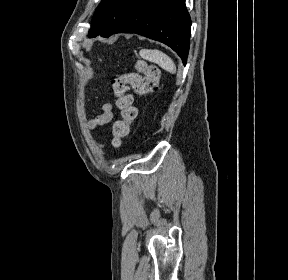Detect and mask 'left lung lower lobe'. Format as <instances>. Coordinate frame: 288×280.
Returning <instances> with one entry per match:
<instances>
[{
    "label": "left lung lower lobe",
    "instance_id": "obj_1",
    "mask_svg": "<svg viewBox=\"0 0 288 280\" xmlns=\"http://www.w3.org/2000/svg\"><path fill=\"white\" fill-rule=\"evenodd\" d=\"M191 19L185 0H140L123 18L113 34L136 33L172 48L186 64Z\"/></svg>",
    "mask_w": 288,
    "mask_h": 280
}]
</instances>
